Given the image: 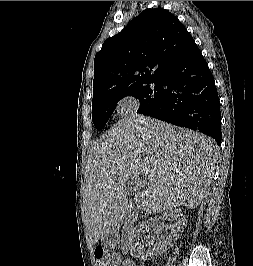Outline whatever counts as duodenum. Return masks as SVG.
<instances>
[{
    "label": "duodenum",
    "mask_w": 253,
    "mask_h": 266,
    "mask_svg": "<svg viewBox=\"0 0 253 266\" xmlns=\"http://www.w3.org/2000/svg\"><path fill=\"white\" fill-rule=\"evenodd\" d=\"M114 238H116V237L113 234L108 233L105 235V242L107 244H111V243H113Z\"/></svg>",
    "instance_id": "duodenum-1"
}]
</instances>
